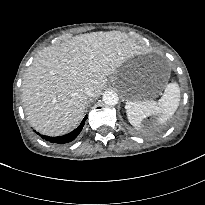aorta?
I'll return each instance as SVG.
<instances>
[{
	"label": "aorta",
	"mask_w": 205,
	"mask_h": 205,
	"mask_svg": "<svg viewBox=\"0 0 205 205\" xmlns=\"http://www.w3.org/2000/svg\"><path fill=\"white\" fill-rule=\"evenodd\" d=\"M119 101V97L114 91H106L103 93V102L109 106H115Z\"/></svg>",
	"instance_id": "aorta-1"
}]
</instances>
